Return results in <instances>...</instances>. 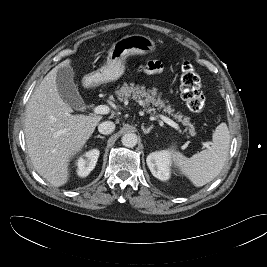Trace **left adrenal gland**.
<instances>
[{"label":"left adrenal gland","instance_id":"obj_1","mask_svg":"<svg viewBox=\"0 0 267 267\" xmlns=\"http://www.w3.org/2000/svg\"><path fill=\"white\" fill-rule=\"evenodd\" d=\"M141 128H142L144 134H148L152 130L153 127L150 126L148 128H145L144 125L142 124Z\"/></svg>","mask_w":267,"mask_h":267}]
</instances>
